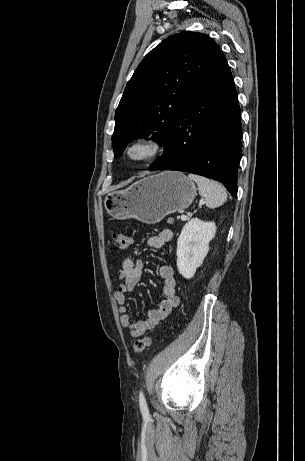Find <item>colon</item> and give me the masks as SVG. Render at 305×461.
<instances>
[{
  "label": "colon",
  "mask_w": 305,
  "mask_h": 461,
  "mask_svg": "<svg viewBox=\"0 0 305 461\" xmlns=\"http://www.w3.org/2000/svg\"><path fill=\"white\" fill-rule=\"evenodd\" d=\"M115 245L120 250H126L131 244V238L124 232H113L112 234ZM153 338L144 337L134 342L133 349L136 353L143 352L148 346L151 345Z\"/></svg>",
  "instance_id": "1"
}]
</instances>
